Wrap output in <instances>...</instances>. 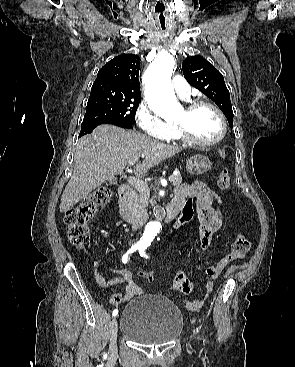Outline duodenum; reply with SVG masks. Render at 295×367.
<instances>
[{
	"mask_svg": "<svg viewBox=\"0 0 295 367\" xmlns=\"http://www.w3.org/2000/svg\"><path fill=\"white\" fill-rule=\"evenodd\" d=\"M130 187L122 184L118 188V206L121 216L134 224H141L144 216L138 213L130 203ZM182 203L178 200H172L165 209V221L169 222L175 219L181 212Z\"/></svg>",
	"mask_w": 295,
	"mask_h": 367,
	"instance_id": "obj_1",
	"label": "duodenum"
}]
</instances>
